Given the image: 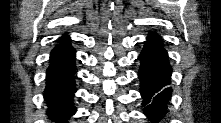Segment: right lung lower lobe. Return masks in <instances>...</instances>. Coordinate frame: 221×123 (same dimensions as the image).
<instances>
[{"mask_svg":"<svg viewBox=\"0 0 221 123\" xmlns=\"http://www.w3.org/2000/svg\"><path fill=\"white\" fill-rule=\"evenodd\" d=\"M75 56L68 36L59 39L50 55L44 98L48 105L47 114L55 123H67L76 111L73 103Z\"/></svg>","mask_w":221,"mask_h":123,"instance_id":"98d812e1","label":"right lung lower lobe"}]
</instances>
